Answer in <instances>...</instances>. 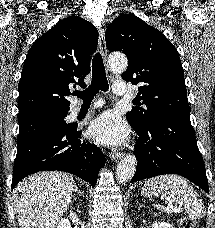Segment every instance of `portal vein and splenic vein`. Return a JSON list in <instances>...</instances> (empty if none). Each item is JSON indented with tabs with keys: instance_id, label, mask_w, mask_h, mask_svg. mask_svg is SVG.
Segmentation results:
<instances>
[{
	"instance_id": "obj_1",
	"label": "portal vein and splenic vein",
	"mask_w": 215,
	"mask_h": 228,
	"mask_svg": "<svg viewBox=\"0 0 215 228\" xmlns=\"http://www.w3.org/2000/svg\"><path fill=\"white\" fill-rule=\"evenodd\" d=\"M155 208H159V206H155ZM163 212H166V214H169V212H172L170 208H163Z\"/></svg>"
}]
</instances>
